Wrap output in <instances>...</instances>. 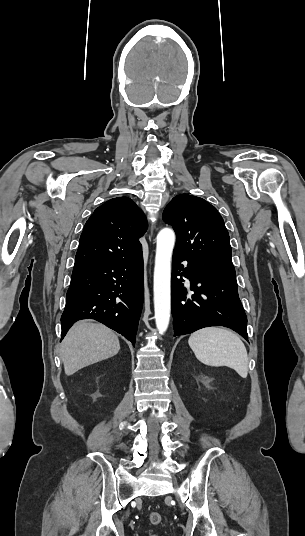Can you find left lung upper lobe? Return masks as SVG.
Masks as SVG:
<instances>
[{
  "instance_id": "5c2ea615",
  "label": "left lung upper lobe",
  "mask_w": 305,
  "mask_h": 536,
  "mask_svg": "<svg viewBox=\"0 0 305 536\" xmlns=\"http://www.w3.org/2000/svg\"><path fill=\"white\" fill-rule=\"evenodd\" d=\"M176 233L174 253L199 267L235 273L229 234L216 208L200 197L181 194L163 212Z\"/></svg>"
}]
</instances>
